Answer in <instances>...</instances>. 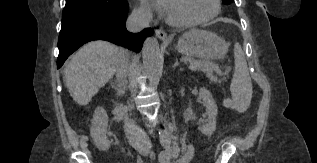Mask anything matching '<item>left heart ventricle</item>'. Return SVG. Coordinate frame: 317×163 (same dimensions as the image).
Masks as SVG:
<instances>
[{
    "mask_svg": "<svg viewBox=\"0 0 317 163\" xmlns=\"http://www.w3.org/2000/svg\"><path fill=\"white\" fill-rule=\"evenodd\" d=\"M165 3L168 16L180 22L206 17L213 10V0H166Z\"/></svg>",
    "mask_w": 317,
    "mask_h": 163,
    "instance_id": "left-heart-ventricle-1",
    "label": "left heart ventricle"
}]
</instances>
